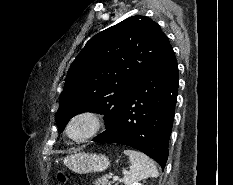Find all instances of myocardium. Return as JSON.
I'll list each match as a JSON object with an SVG mask.
<instances>
[{"mask_svg":"<svg viewBox=\"0 0 233 185\" xmlns=\"http://www.w3.org/2000/svg\"><path fill=\"white\" fill-rule=\"evenodd\" d=\"M81 118L89 119L92 122V128L83 137L73 138L70 134L71 126L76 120L81 119ZM104 126H105V119L100 112L95 111V110H82V111L75 113L69 119L66 125L65 132L68 138L72 140L73 142L83 143L97 136L101 132V130L104 128Z\"/></svg>","mask_w":233,"mask_h":185,"instance_id":"f54148a6","label":"myocardium"}]
</instances>
